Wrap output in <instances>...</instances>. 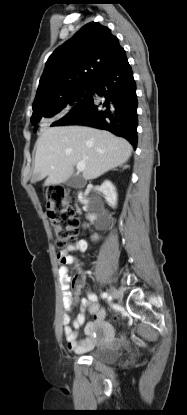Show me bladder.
Returning a JSON list of instances; mask_svg holds the SVG:
<instances>
[{"label":"bladder","instance_id":"bladder-1","mask_svg":"<svg viewBox=\"0 0 187 415\" xmlns=\"http://www.w3.org/2000/svg\"><path fill=\"white\" fill-rule=\"evenodd\" d=\"M121 347H113V348H98L94 351L88 353V356L93 360L111 364L116 362L121 355Z\"/></svg>","mask_w":187,"mask_h":415}]
</instances>
